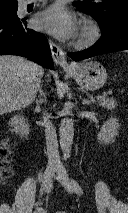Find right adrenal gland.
Instances as JSON below:
<instances>
[{"label":"right adrenal gland","mask_w":128,"mask_h":213,"mask_svg":"<svg viewBox=\"0 0 128 213\" xmlns=\"http://www.w3.org/2000/svg\"><path fill=\"white\" fill-rule=\"evenodd\" d=\"M39 98L36 99V103L42 104L46 100V93L42 89V85L39 86Z\"/></svg>","instance_id":"right-adrenal-gland-1"}]
</instances>
